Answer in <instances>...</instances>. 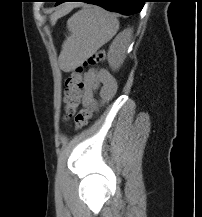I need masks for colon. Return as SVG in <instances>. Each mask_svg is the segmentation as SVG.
I'll use <instances>...</instances> for the list:
<instances>
[{
  "mask_svg": "<svg viewBox=\"0 0 202 217\" xmlns=\"http://www.w3.org/2000/svg\"><path fill=\"white\" fill-rule=\"evenodd\" d=\"M106 53L102 50L93 53L85 62V64H99L105 60ZM83 65L77 66L72 74L66 80V88L64 95V117L66 119L74 116L76 129H82L91 118L92 111L96 108V104L92 103L90 107L82 108L77 112L82 98L84 82H83Z\"/></svg>",
  "mask_w": 202,
  "mask_h": 217,
  "instance_id": "colon-1",
  "label": "colon"
}]
</instances>
